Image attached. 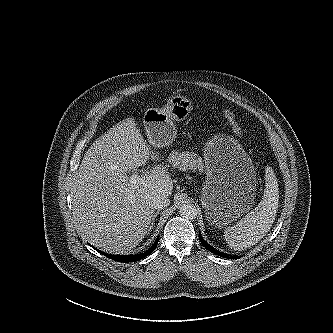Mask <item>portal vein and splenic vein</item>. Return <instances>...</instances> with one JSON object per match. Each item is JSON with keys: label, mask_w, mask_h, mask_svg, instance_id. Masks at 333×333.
Segmentation results:
<instances>
[{"label": "portal vein and splenic vein", "mask_w": 333, "mask_h": 333, "mask_svg": "<svg viewBox=\"0 0 333 333\" xmlns=\"http://www.w3.org/2000/svg\"><path fill=\"white\" fill-rule=\"evenodd\" d=\"M139 180H140V177L138 175H136V174H133L130 177V182L133 183V184H136Z\"/></svg>", "instance_id": "1"}]
</instances>
